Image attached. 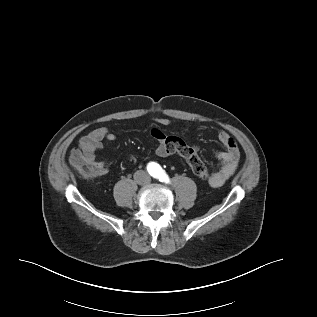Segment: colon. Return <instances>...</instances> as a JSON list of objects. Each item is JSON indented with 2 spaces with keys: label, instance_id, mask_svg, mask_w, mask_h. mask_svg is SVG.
<instances>
[{
  "label": "colon",
  "instance_id": "1",
  "mask_svg": "<svg viewBox=\"0 0 317 317\" xmlns=\"http://www.w3.org/2000/svg\"><path fill=\"white\" fill-rule=\"evenodd\" d=\"M178 154L181 155L188 163L191 172L200 180L206 181L210 179V171L204 162L199 158L197 152L192 147H187L182 150H178ZM74 168L83 177L91 178L96 176L97 169L92 161L77 158L74 162Z\"/></svg>",
  "mask_w": 317,
  "mask_h": 317
}]
</instances>
